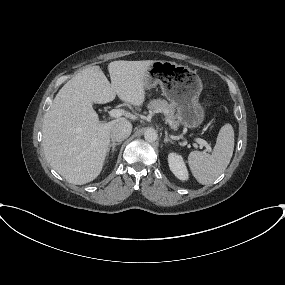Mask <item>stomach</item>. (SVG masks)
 I'll return each instance as SVG.
<instances>
[{"mask_svg":"<svg viewBox=\"0 0 285 285\" xmlns=\"http://www.w3.org/2000/svg\"><path fill=\"white\" fill-rule=\"evenodd\" d=\"M157 84L163 96L176 108L178 123L194 129L204 122L205 109L199 103L202 82L193 70L171 61H153L144 79V86L149 90Z\"/></svg>","mask_w":285,"mask_h":285,"instance_id":"obj_1","label":"stomach"}]
</instances>
